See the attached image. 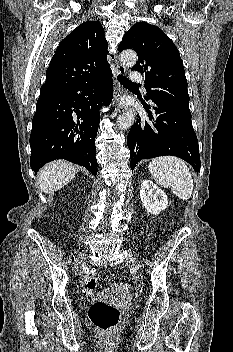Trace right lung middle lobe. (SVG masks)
Instances as JSON below:
<instances>
[{
    "mask_svg": "<svg viewBox=\"0 0 233 352\" xmlns=\"http://www.w3.org/2000/svg\"><path fill=\"white\" fill-rule=\"evenodd\" d=\"M59 92H62V91L53 90V89H41L40 95H49V94H55V93H59Z\"/></svg>",
    "mask_w": 233,
    "mask_h": 352,
    "instance_id": "1",
    "label": "right lung middle lobe"
}]
</instances>
